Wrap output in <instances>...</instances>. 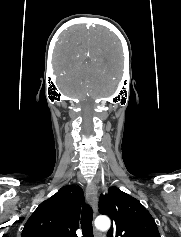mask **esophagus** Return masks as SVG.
Listing matches in <instances>:
<instances>
[{
	"label": "esophagus",
	"mask_w": 181,
	"mask_h": 237,
	"mask_svg": "<svg viewBox=\"0 0 181 237\" xmlns=\"http://www.w3.org/2000/svg\"><path fill=\"white\" fill-rule=\"evenodd\" d=\"M86 196L94 212L97 210V187L94 183H90L86 188Z\"/></svg>",
	"instance_id": "obj_1"
}]
</instances>
